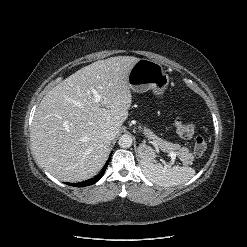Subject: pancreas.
<instances>
[{"label":"pancreas","mask_w":247,"mask_h":247,"mask_svg":"<svg viewBox=\"0 0 247 247\" xmlns=\"http://www.w3.org/2000/svg\"><path fill=\"white\" fill-rule=\"evenodd\" d=\"M144 134L164 152H170L173 151L177 153V155L184 161V162H190L193 159V155L189 153L188 148L181 147L179 144H173L171 142H167L165 140H162L161 138H158L152 131L149 129H144Z\"/></svg>","instance_id":"pancreas-1"}]
</instances>
